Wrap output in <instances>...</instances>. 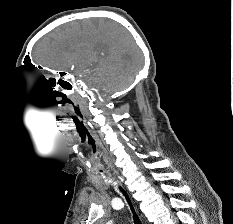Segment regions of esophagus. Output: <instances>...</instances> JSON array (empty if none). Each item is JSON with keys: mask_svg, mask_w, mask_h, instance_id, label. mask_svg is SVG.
<instances>
[{"mask_svg": "<svg viewBox=\"0 0 233 224\" xmlns=\"http://www.w3.org/2000/svg\"><path fill=\"white\" fill-rule=\"evenodd\" d=\"M115 176H118L119 177V175H118V172L117 171H114V173H113Z\"/></svg>", "mask_w": 233, "mask_h": 224, "instance_id": "34e87169", "label": "esophagus"}]
</instances>
